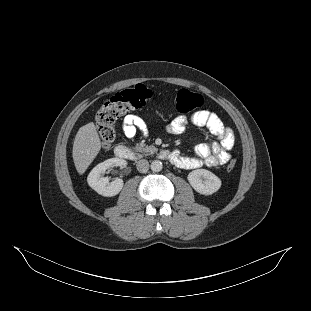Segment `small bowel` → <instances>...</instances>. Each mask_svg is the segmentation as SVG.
<instances>
[{
    "label": "small bowel",
    "mask_w": 311,
    "mask_h": 311,
    "mask_svg": "<svg viewBox=\"0 0 311 311\" xmlns=\"http://www.w3.org/2000/svg\"><path fill=\"white\" fill-rule=\"evenodd\" d=\"M189 124L207 128L217 138V141L198 144L194 148L195 156L193 157L181 156L179 152H173L175 155L173 163L177 167L183 169H196L202 166L218 167L229 161L235 143L234 133L223 124L215 113L200 110L190 116H178L170 122L168 131L178 135L183 133ZM137 131L146 135L147 129L144 120L133 114L125 116L123 119L124 135L132 139L136 136Z\"/></svg>",
    "instance_id": "c3829d8e"
}]
</instances>
